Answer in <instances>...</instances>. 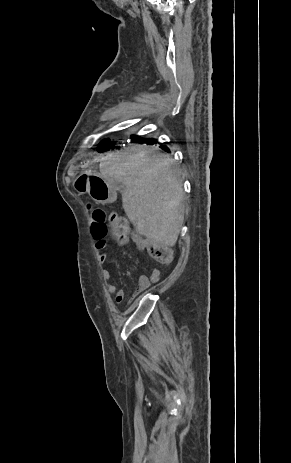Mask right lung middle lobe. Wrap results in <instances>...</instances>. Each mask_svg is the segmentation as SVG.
I'll use <instances>...</instances> for the list:
<instances>
[{"instance_id": "obj_1", "label": "right lung middle lobe", "mask_w": 291, "mask_h": 463, "mask_svg": "<svg viewBox=\"0 0 291 463\" xmlns=\"http://www.w3.org/2000/svg\"><path fill=\"white\" fill-rule=\"evenodd\" d=\"M131 138H132V141H133V142H140V143H142V142L145 141L144 139H141L139 136H133V135H132ZM115 143H116L115 141H111L110 139H105V140H103V141L99 144L98 150L105 149V148H108V147L110 148V147H112Z\"/></svg>"}]
</instances>
